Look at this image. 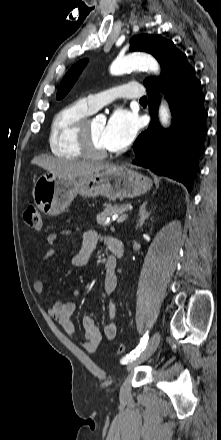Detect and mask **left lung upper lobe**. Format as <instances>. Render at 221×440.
Listing matches in <instances>:
<instances>
[{
    "label": "left lung upper lobe",
    "mask_w": 221,
    "mask_h": 440,
    "mask_svg": "<svg viewBox=\"0 0 221 440\" xmlns=\"http://www.w3.org/2000/svg\"><path fill=\"white\" fill-rule=\"evenodd\" d=\"M130 51H144L152 54L163 68L168 56L177 51L173 42L157 35H137L133 36L130 41ZM88 60H80L77 62L64 76L57 92V99L64 98L65 95L74 85ZM155 78H147L144 81L145 86L152 82Z\"/></svg>",
    "instance_id": "5c2ea615"
}]
</instances>
